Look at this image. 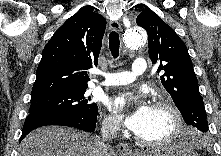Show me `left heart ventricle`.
I'll list each match as a JSON object with an SVG mask.
<instances>
[{
	"instance_id": "b2bd125f",
	"label": "left heart ventricle",
	"mask_w": 221,
	"mask_h": 156,
	"mask_svg": "<svg viewBox=\"0 0 221 156\" xmlns=\"http://www.w3.org/2000/svg\"><path fill=\"white\" fill-rule=\"evenodd\" d=\"M172 124L168 111L153 107L150 120L138 135L146 139H159L170 133Z\"/></svg>"
}]
</instances>
